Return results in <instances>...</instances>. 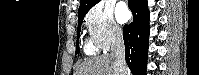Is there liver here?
<instances>
[{"label":"liver","instance_id":"liver-1","mask_svg":"<svg viewBox=\"0 0 199 75\" xmlns=\"http://www.w3.org/2000/svg\"><path fill=\"white\" fill-rule=\"evenodd\" d=\"M115 59L111 54L85 60L74 75H115ZM129 71L127 70V74Z\"/></svg>","mask_w":199,"mask_h":75}]
</instances>
